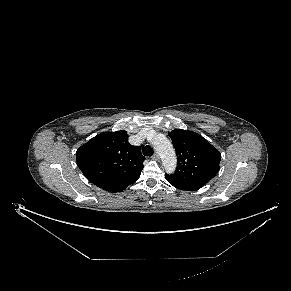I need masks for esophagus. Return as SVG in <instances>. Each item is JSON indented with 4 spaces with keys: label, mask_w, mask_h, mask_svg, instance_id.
Wrapping results in <instances>:
<instances>
[{
    "label": "esophagus",
    "mask_w": 291,
    "mask_h": 291,
    "mask_svg": "<svg viewBox=\"0 0 291 291\" xmlns=\"http://www.w3.org/2000/svg\"><path fill=\"white\" fill-rule=\"evenodd\" d=\"M152 158H153L154 160H156V161H159V160H160V156H159L157 153H155V154L152 156Z\"/></svg>",
    "instance_id": "34e87169"
}]
</instances>
